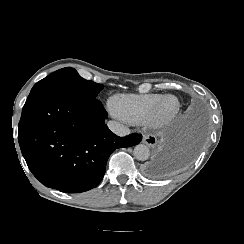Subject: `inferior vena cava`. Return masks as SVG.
Returning a JSON list of instances; mask_svg holds the SVG:
<instances>
[{"mask_svg":"<svg viewBox=\"0 0 244 244\" xmlns=\"http://www.w3.org/2000/svg\"><path fill=\"white\" fill-rule=\"evenodd\" d=\"M108 128L116 135L120 137L128 136L130 134V130L122 124H119L115 121L108 122Z\"/></svg>","mask_w":244,"mask_h":244,"instance_id":"602c4592","label":"inferior vena cava"}]
</instances>
